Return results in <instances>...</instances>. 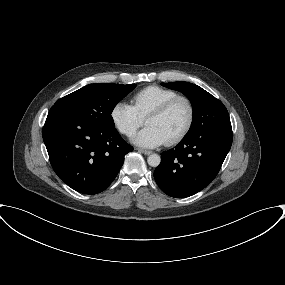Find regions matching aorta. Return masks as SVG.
<instances>
[{
  "instance_id": "aorta-1",
  "label": "aorta",
  "mask_w": 285,
  "mask_h": 285,
  "mask_svg": "<svg viewBox=\"0 0 285 285\" xmlns=\"http://www.w3.org/2000/svg\"><path fill=\"white\" fill-rule=\"evenodd\" d=\"M147 162L151 167H157L161 162V158L158 154H151L148 156Z\"/></svg>"
}]
</instances>
